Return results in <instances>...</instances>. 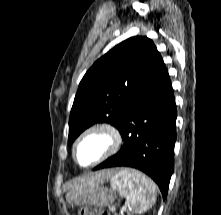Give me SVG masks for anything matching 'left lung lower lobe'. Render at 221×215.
<instances>
[{
  "instance_id": "0a47b994",
  "label": "left lung lower lobe",
  "mask_w": 221,
  "mask_h": 215,
  "mask_svg": "<svg viewBox=\"0 0 221 215\" xmlns=\"http://www.w3.org/2000/svg\"><path fill=\"white\" fill-rule=\"evenodd\" d=\"M177 111L168 71L159 55L146 79L123 109L117 129L121 150L94 170L126 166L150 176L166 198L174 171Z\"/></svg>"
}]
</instances>
